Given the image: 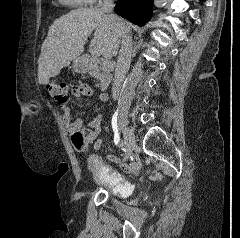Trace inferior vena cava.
<instances>
[{"mask_svg":"<svg viewBox=\"0 0 240 238\" xmlns=\"http://www.w3.org/2000/svg\"><path fill=\"white\" fill-rule=\"evenodd\" d=\"M114 8L113 0H105L101 6L100 11L106 13V16L122 30L121 33V49L116 63L114 73V83L112 88V96L114 99L118 98L121 83L130 67L132 57V37L130 34V27L124 24V21L112 14Z\"/></svg>","mask_w":240,"mask_h":238,"instance_id":"1","label":"inferior vena cava"}]
</instances>
